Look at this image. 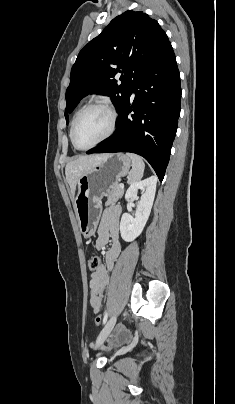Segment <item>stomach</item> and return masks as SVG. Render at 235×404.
Returning a JSON list of instances; mask_svg holds the SVG:
<instances>
[{"label":"stomach","mask_w":235,"mask_h":404,"mask_svg":"<svg viewBox=\"0 0 235 404\" xmlns=\"http://www.w3.org/2000/svg\"><path fill=\"white\" fill-rule=\"evenodd\" d=\"M130 167L131 160L127 155L107 154L78 180L74 208L80 232L85 238L93 236L96 232L102 212L101 199L109 194L121 177L129 173Z\"/></svg>","instance_id":"stomach-1"}]
</instances>
